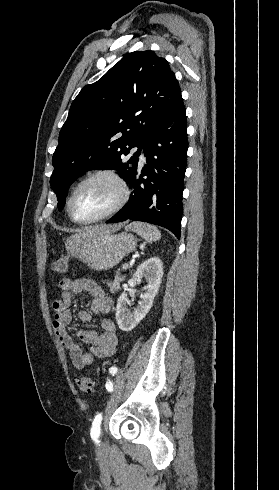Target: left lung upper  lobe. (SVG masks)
Returning a JSON list of instances; mask_svg holds the SVG:
<instances>
[{
  "label": "left lung upper lobe",
  "instance_id": "1",
  "mask_svg": "<svg viewBox=\"0 0 279 490\" xmlns=\"http://www.w3.org/2000/svg\"><path fill=\"white\" fill-rule=\"evenodd\" d=\"M180 99L168 62L148 50L128 53L101 79L84 86L53 154L50 184L59 211L69 186L88 170L114 169L129 181L150 131Z\"/></svg>",
  "mask_w": 279,
  "mask_h": 490
}]
</instances>
